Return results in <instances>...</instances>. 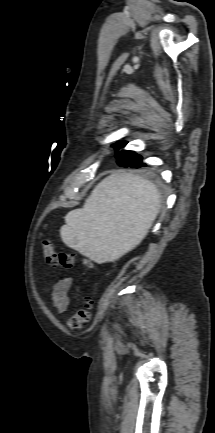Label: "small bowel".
<instances>
[{"mask_svg":"<svg viewBox=\"0 0 215 433\" xmlns=\"http://www.w3.org/2000/svg\"><path fill=\"white\" fill-rule=\"evenodd\" d=\"M72 286L71 277H63L55 284L52 292L53 305L59 314L64 313L69 307L68 293Z\"/></svg>","mask_w":215,"mask_h":433,"instance_id":"1","label":"small bowel"}]
</instances>
